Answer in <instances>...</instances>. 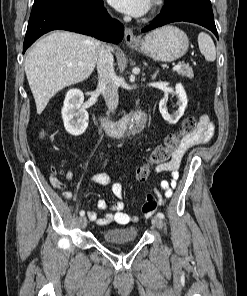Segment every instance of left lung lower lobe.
Instances as JSON below:
<instances>
[{
	"label": "left lung lower lobe",
	"mask_w": 247,
	"mask_h": 296,
	"mask_svg": "<svg viewBox=\"0 0 247 296\" xmlns=\"http://www.w3.org/2000/svg\"><path fill=\"white\" fill-rule=\"evenodd\" d=\"M177 21L202 25L218 38L210 0H166L155 22L143 28L142 32Z\"/></svg>",
	"instance_id": "left-lung-lower-lobe-1"
}]
</instances>
